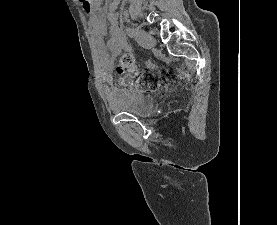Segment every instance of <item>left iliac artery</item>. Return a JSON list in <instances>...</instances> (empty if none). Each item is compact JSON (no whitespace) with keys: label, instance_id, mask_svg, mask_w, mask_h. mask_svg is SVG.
Masks as SVG:
<instances>
[{"label":"left iliac artery","instance_id":"44dca946","mask_svg":"<svg viewBox=\"0 0 277 225\" xmlns=\"http://www.w3.org/2000/svg\"><path fill=\"white\" fill-rule=\"evenodd\" d=\"M126 33H127V35H128L129 37H131V38H133V37L135 36V31H134V29L131 28V27H127V28H126Z\"/></svg>","mask_w":277,"mask_h":225}]
</instances>
